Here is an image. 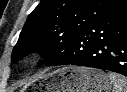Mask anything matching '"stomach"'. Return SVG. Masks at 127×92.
Segmentation results:
<instances>
[{
	"label": "stomach",
	"instance_id": "0dacf381",
	"mask_svg": "<svg viewBox=\"0 0 127 92\" xmlns=\"http://www.w3.org/2000/svg\"><path fill=\"white\" fill-rule=\"evenodd\" d=\"M43 92H110L112 83L102 71L67 66L43 78Z\"/></svg>",
	"mask_w": 127,
	"mask_h": 92
}]
</instances>
